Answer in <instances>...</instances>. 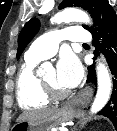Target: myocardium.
Wrapping results in <instances>:
<instances>
[{
    "label": "myocardium",
    "mask_w": 117,
    "mask_h": 131,
    "mask_svg": "<svg viewBox=\"0 0 117 131\" xmlns=\"http://www.w3.org/2000/svg\"><path fill=\"white\" fill-rule=\"evenodd\" d=\"M41 85L45 94L54 100L64 99L70 95V91L60 90L51 83L47 82L43 77L40 78Z\"/></svg>",
    "instance_id": "myocardium-1"
}]
</instances>
